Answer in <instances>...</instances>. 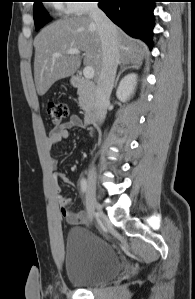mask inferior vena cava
<instances>
[{"label": "inferior vena cava", "mask_w": 195, "mask_h": 299, "mask_svg": "<svg viewBox=\"0 0 195 299\" xmlns=\"http://www.w3.org/2000/svg\"><path fill=\"white\" fill-rule=\"evenodd\" d=\"M89 17L95 22L101 41L102 68L97 81L95 110L99 124L103 123L119 63V41L115 25L98 7L89 5Z\"/></svg>", "instance_id": "1"}]
</instances>
